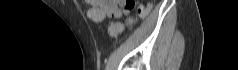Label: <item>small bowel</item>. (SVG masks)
<instances>
[{"mask_svg": "<svg viewBox=\"0 0 238 70\" xmlns=\"http://www.w3.org/2000/svg\"><path fill=\"white\" fill-rule=\"evenodd\" d=\"M87 3L86 14L93 22H101L106 17L118 19L129 13L124 0H87Z\"/></svg>", "mask_w": 238, "mask_h": 70, "instance_id": "small-bowel-1", "label": "small bowel"}]
</instances>
